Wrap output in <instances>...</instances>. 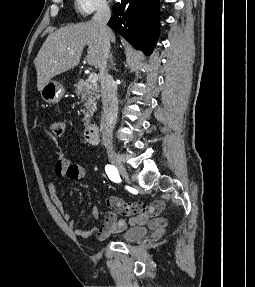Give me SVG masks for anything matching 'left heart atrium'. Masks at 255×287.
I'll list each match as a JSON object with an SVG mask.
<instances>
[{
	"instance_id": "39dd6f15",
	"label": "left heart atrium",
	"mask_w": 255,
	"mask_h": 287,
	"mask_svg": "<svg viewBox=\"0 0 255 287\" xmlns=\"http://www.w3.org/2000/svg\"><path fill=\"white\" fill-rule=\"evenodd\" d=\"M83 33H91V32H83ZM80 39H89V38H80Z\"/></svg>"
}]
</instances>
